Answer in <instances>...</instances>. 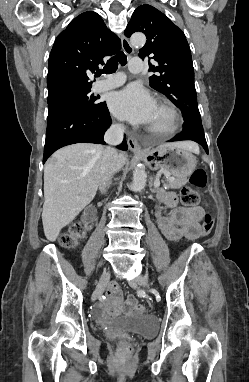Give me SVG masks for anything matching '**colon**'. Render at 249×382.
I'll use <instances>...</instances> for the list:
<instances>
[{"mask_svg": "<svg viewBox=\"0 0 249 382\" xmlns=\"http://www.w3.org/2000/svg\"><path fill=\"white\" fill-rule=\"evenodd\" d=\"M207 177L206 173L203 169L197 168L193 171L190 177V182L195 187H204L206 185ZM181 202L185 207H193L196 206L199 202V196L191 187H184L181 191ZM86 224L82 222H78L72 226L69 233L62 237L61 244L64 248L74 249L79 241L84 238L86 234ZM214 226V220L211 215L206 214L204 216L202 230L203 234H209ZM134 310L137 313L145 312V307L141 304H135ZM122 351L127 352L130 350V346L127 342H122L121 344Z\"/></svg>", "mask_w": 249, "mask_h": 382, "instance_id": "colon-1", "label": "colon"}]
</instances>
